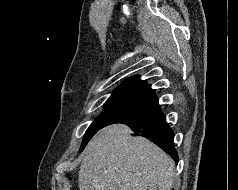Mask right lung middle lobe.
I'll return each instance as SVG.
<instances>
[{
    "label": "right lung middle lobe",
    "instance_id": "dd1d6c3e",
    "mask_svg": "<svg viewBox=\"0 0 238 190\" xmlns=\"http://www.w3.org/2000/svg\"><path fill=\"white\" fill-rule=\"evenodd\" d=\"M154 106L155 104L153 103L129 97L109 98L105 103L103 112L87 129L81 144L80 151L85 148L88 141L101 128L114 123H123L138 117L149 111Z\"/></svg>",
    "mask_w": 238,
    "mask_h": 190
}]
</instances>
